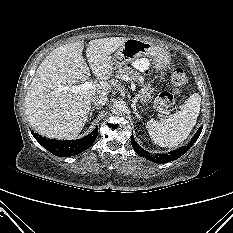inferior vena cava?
Returning a JSON list of instances; mask_svg holds the SVG:
<instances>
[{
  "instance_id": "obj_1",
  "label": "inferior vena cava",
  "mask_w": 233,
  "mask_h": 233,
  "mask_svg": "<svg viewBox=\"0 0 233 233\" xmlns=\"http://www.w3.org/2000/svg\"><path fill=\"white\" fill-rule=\"evenodd\" d=\"M91 101L96 107H101L105 105L107 97L105 95H97L94 96Z\"/></svg>"
}]
</instances>
